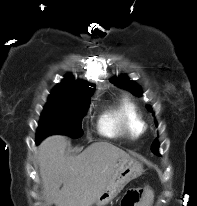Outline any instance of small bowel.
Listing matches in <instances>:
<instances>
[{
  "instance_id": "c3829d8e",
  "label": "small bowel",
  "mask_w": 197,
  "mask_h": 206,
  "mask_svg": "<svg viewBox=\"0 0 197 206\" xmlns=\"http://www.w3.org/2000/svg\"><path fill=\"white\" fill-rule=\"evenodd\" d=\"M150 194H151V192L148 190V192L145 194V196H149ZM138 202H135L132 206H138Z\"/></svg>"
}]
</instances>
